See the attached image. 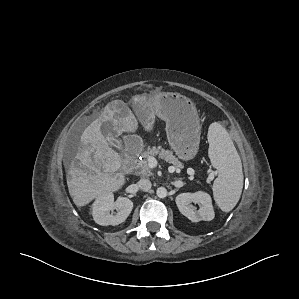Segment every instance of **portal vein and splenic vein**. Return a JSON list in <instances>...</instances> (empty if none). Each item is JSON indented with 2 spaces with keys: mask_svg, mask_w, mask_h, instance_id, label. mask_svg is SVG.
Listing matches in <instances>:
<instances>
[{
  "mask_svg": "<svg viewBox=\"0 0 299 299\" xmlns=\"http://www.w3.org/2000/svg\"><path fill=\"white\" fill-rule=\"evenodd\" d=\"M149 165H150V167H156V166L158 165V162H157L156 158H154V157H150V158H149ZM168 170H169V172L172 173V172L175 171V167L170 166V167L168 168ZM187 172H188V174L191 175V176H193V175L195 174V171H194V169H192V168H188Z\"/></svg>",
  "mask_w": 299,
  "mask_h": 299,
  "instance_id": "1",
  "label": "portal vein and splenic vein"
}]
</instances>
